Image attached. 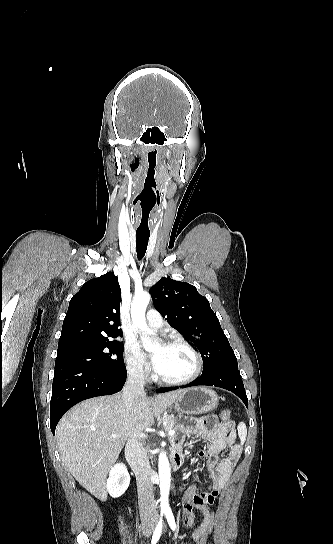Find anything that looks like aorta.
<instances>
[{"instance_id":"aorta-1","label":"aorta","mask_w":333,"mask_h":544,"mask_svg":"<svg viewBox=\"0 0 333 544\" xmlns=\"http://www.w3.org/2000/svg\"><path fill=\"white\" fill-rule=\"evenodd\" d=\"M150 301V294L147 292L135 293L131 304V318L134 326L147 340V349L155 350L156 346L151 342V331L147 327L145 312ZM158 470L160 479V501L162 508H169V491L171 483V472L168 457L165 452H160L158 458Z\"/></svg>"}]
</instances>
